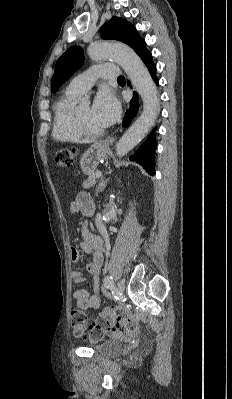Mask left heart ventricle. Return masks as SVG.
Returning a JSON list of instances; mask_svg holds the SVG:
<instances>
[{
	"label": "left heart ventricle",
	"mask_w": 232,
	"mask_h": 399,
	"mask_svg": "<svg viewBox=\"0 0 232 399\" xmlns=\"http://www.w3.org/2000/svg\"><path fill=\"white\" fill-rule=\"evenodd\" d=\"M77 114L82 118V120L85 122L86 126L94 132H101L106 130V128L101 125L93 116L91 113V108L89 106H84L79 109Z\"/></svg>",
	"instance_id": "left-heart-ventricle-1"
}]
</instances>
